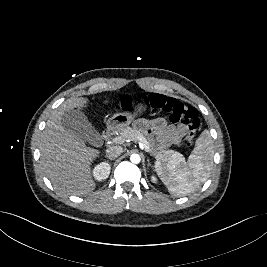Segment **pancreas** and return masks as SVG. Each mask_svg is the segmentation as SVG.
<instances>
[{
  "label": "pancreas",
  "instance_id": "1",
  "mask_svg": "<svg viewBox=\"0 0 267 267\" xmlns=\"http://www.w3.org/2000/svg\"><path fill=\"white\" fill-rule=\"evenodd\" d=\"M121 137L125 139H129L132 141H144L149 146V152L153 154V156L159 160L169 159L173 157L177 152L172 150H163V151H155L151 148L150 142L146 139V137L137 130L132 129L131 127H126L121 131Z\"/></svg>",
  "mask_w": 267,
  "mask_h": 267
}]
</instances>
